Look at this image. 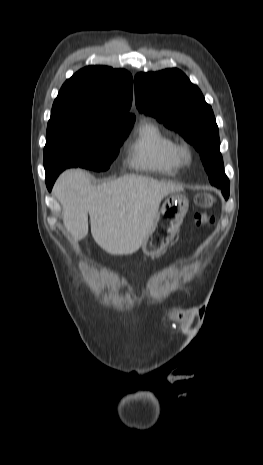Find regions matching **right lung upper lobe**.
Masks as SVG:
<instances>
[{"instance_id": "1", "label": "right lung upper lobe", "mask_w": 263, "mask_h": 465, "mask_svg": "<svg viewBox=\"0 0 263 465\" xmlns=\"http://www.w3.org/2000/svg\"><path fill=\"white\" fill-rule=\"evenodd\" d=\"M133 79L124 69L88 66L61 87L52 110L83 109L135 118L132 103Z\"/></svg>"}]
</instances>
